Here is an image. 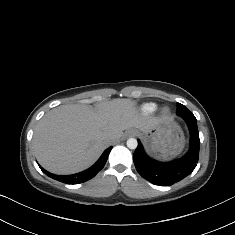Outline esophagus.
I'll list each match as a JSON object with an SVG mask.
<instances>
[{
    "mask_svg": "<svg viewBox=\"0 0 235 235\" xmlns=\"http://www.w3.org/2000/svg\"><path fill=\"white\" fill-rule=\"evenodd\" d=\"M133 136H135V131L128 130L125 132L124 138L126 139V138L133 137Z\"/></svg>",
    "mask_w": 235,
    "mask_h": 235,
    "instance_id": "34e87169",
    "label": "esophagus"
}]
</instances>
